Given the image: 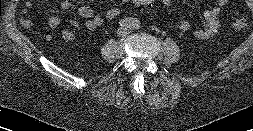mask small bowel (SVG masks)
<instances>
[{
	"mask_svg": "<svg viewBox=\"0 0 253 131\" xmlns=\"http://www.w3.org/2000/svg\"><path fill=\"white\" fill-rule=\"evenodd\" d=\"M172 0H162L164 5H169ZM229 0H217V4L209 10L203 12V24L200 28H193L189 21L181 20L175 24V27L184 33H190L194 37L199 39H210L217 35L221 29V22H220V14L222 7L228 4ZM32 3L29 1L26 3L25 9L23 10L22 17L20 18L21 25L26 28L30 29L32 27V21L28 17L29 9L31 8ZM72 7V3L70 0H63L60 3V8L62 10H69ZM78 15L80 18L84 20V25L89 30H95L102 26L104 23V16L100 13L95 12L90 6L82 5L78 8ZM48 26L51 29H56L60 25V19L57 16H51L48 19ZM70 25L73 28L79 27V22L76 19H72L70 21ZM51 34L46 33L45 39L50 40ZM61 37L65 41H73L75 39V34L70 29H63L61 31Z\"/></svg>",
	"mask_w": 253,
	"mask_h": 131,
	"instance_id": "obj_1",
	"label": "small bowel"
}]
</instances>
